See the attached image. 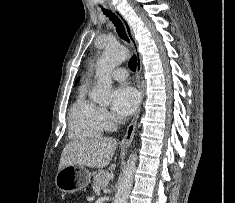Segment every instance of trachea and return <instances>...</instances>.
<instances>
[{
  "label": "trachea",
  "instance_id": "1",
  "mask_svg": "<svg viewBox=\"0 0 235 203\" xmlns=\"http://www.w3.org/2000/svg\"><path fill=\"white\" fill-rule=\"evenodd\" d=\"M102 10H103V13L107 17H109V19L113 22L119 36L122 39H124L125 41L129 42V38L125 32V29H124V26H123V23L121 22V20L115 14H113L111 11H108L106 9H102ZM128 66L132 71H136V66H137L136 55H133L131 57V59L129 60Z\"/></svg>",
  "mask_w": 235,
  "mask_h": 203
}]
</instances>
